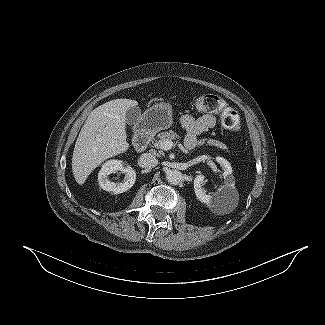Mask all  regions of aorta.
<instances>
[{"label":"aorta","instance_id":"obj_1","mask_svg":"<svg viewBox=\"0 0 325 325\" xmlns=\"http://www.w3.org/2000/svg\"><path fill=\"white\" fill-rule=\"evenodd\" d=\"M166 179L168 183L172 185H178L182 182L183 180V174L179 170H169L166 173Z\"/></svg>","mask_w":325,"mask_h":325}]
</instances>
